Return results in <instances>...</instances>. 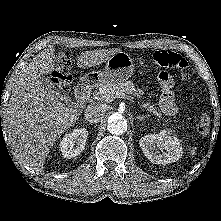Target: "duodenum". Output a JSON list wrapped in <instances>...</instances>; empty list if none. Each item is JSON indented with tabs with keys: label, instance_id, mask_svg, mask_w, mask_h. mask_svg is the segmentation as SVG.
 Wrapping results in <instances>:
<instances>
[{
	"label": "duodenum",
	"instance_id": "1",
	"mask_svg": "<svg viewBox=\"0 0 221 221\" xmlns=\"http://www.w3.org/2000/svg\"><path fill=\"white\" fill-rule=\"evenodd\" d=\"M92 84V80L85 79L77 85L75 89V97L77 102H81L86 97Z\"/></svg>",
	"mask_w": 221,
	"mask_h": 221
}]
</instances>
